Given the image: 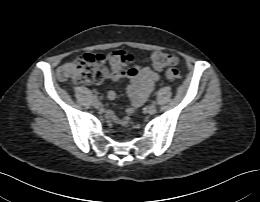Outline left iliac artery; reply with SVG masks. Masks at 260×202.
I'll return each mask as SVG.
<instances>
[{
  "instance_id": "left-iliac-artery-1",
  "label": "left iliac artery",
  "mask_w": 260,
  "mask_h": 202,
  "mask_svg": "<svg viewBox=\"0 0 260 202\" xmlns=\"http://www.w3.org/2000/svg\"><path fill=\"white\" fill-rule=\"evenodd\" d=\"M153 105H155L156 104V102L153 100L152 102H151Z\"/></svg>"
}]
</instances>
